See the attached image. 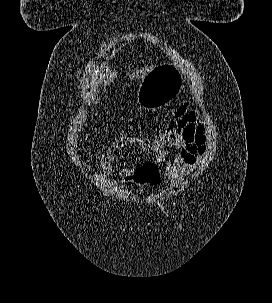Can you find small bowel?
<instances>
[{
    "label": "small bowel",
    "mask_w": 272,
    "mask_h": 303,
    "mask_svg": "<svg viewBox=\"0 0 272 303\" xmlns=\"http://www.w3.org/2000/svg\"><path fill=\"white\" fill-rule=\"evenodd\" d=\"M126 147H133L139 153L148 152L154 160L163 165V175L169 181H177L188 175L208 150V133L199 112L186 102L175 110L164 133L152 140L144 137L123 136L114 140L103 154L102 172L116 173L126 181L133 180L136 168L116 169L113 162ZM169 150H174L170 155Z\"/></svg>",
    "instance_id": "obj_1"
}]
</instances>
